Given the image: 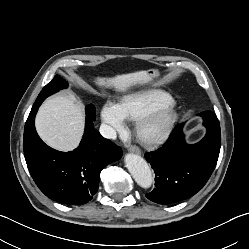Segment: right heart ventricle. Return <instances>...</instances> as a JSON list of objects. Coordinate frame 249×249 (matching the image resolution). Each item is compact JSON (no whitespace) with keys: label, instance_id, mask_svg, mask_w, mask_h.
<instances>
[{"label":"right heart ventricle","instance_id":"e07e8e85","mask_svg":"<svg viewBox=\"0 0 249 249\" xmlns=\"http://www.w3.org/2000/svg\"><path fill=\"white\" fill-rule=\"evenodd\" d=\"M172 101V97L162 90H144L124 97L118 104L123 116L136 120L147 111L161 104Z\"/></svg>","mask_w":249,"mask_h":249}]
</instances>
